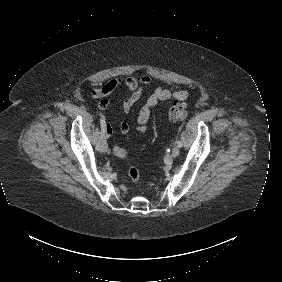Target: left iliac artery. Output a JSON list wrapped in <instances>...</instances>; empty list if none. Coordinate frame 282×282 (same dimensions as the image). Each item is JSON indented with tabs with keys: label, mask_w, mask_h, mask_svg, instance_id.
<instances>
[{
	"label": "left iliac artery",
	"mask_w": 282,
	"mask_h": 282,
	"mask_svg": "<svg viewBox=\"0 0 282 282\" xmlns=\"http://www.w3.org/2000/svg\"><path fill=\"white\" fill-rule=\"evenodd\" d=\"M176 143H177V146H178L179 148H181V147H182V143H181V141H180V140H177V141H176Z\"/></svg>",
	"instance_id": "44dca946"
}]
</instances>
